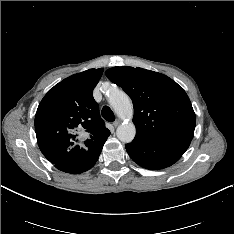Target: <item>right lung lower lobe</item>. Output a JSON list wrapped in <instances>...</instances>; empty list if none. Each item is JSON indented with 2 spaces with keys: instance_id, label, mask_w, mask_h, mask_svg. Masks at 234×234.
Masks as SVG:
<instances>
[{
  "instance_id": "1",
  "label": "right lung lower lobe",
  "mask_w": 234,
  "mask_h": 234,
  "mask_svg": "<svg viewBox=\"0 0 234 234\" xmlns=\"http://www.w3.org/2000/svg\"><path fill=\"white\" fill-rule=\"evenodd\" d=\"M107 138L108 137L104 138L97 146L91 148L86 154H84L79 159L73 162L56 164L55 167L61 171L72 174L82 173L84 171L89 170L94 166V164L98 160L102 147Z\"/></svg>"
}]
</instances>
